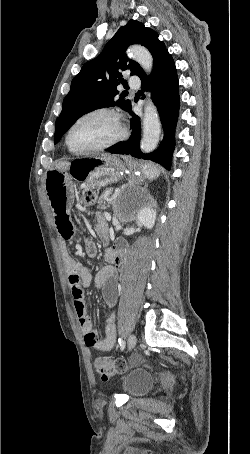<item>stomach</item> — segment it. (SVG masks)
I'll list each match as a JSON object with an SVG mask.
<instances>
[{
  "mask_svg": "<svg viewBox=\"0 0 250 454\" xmlns=\"http://www.w3.org/2000/svg\"><path fill=\"white\" fill-rule=\"evenodd\" d=\"M125 166L116 156L103 155L80 159L70 164L68 173L64 167L49 170L46 176H76L77 181H83L86 188H98L117 181ZM44 186L45 182H44Z\"/></svg>",
  "mask_w": 250,
  "mask_h": 454,
  "instance_id": "1",
  "label": "stomach"
}]
</instances>
